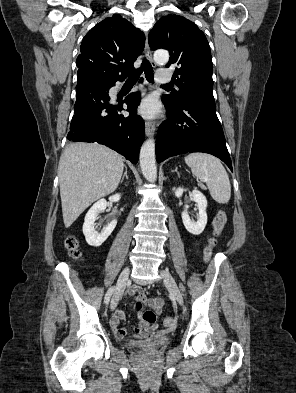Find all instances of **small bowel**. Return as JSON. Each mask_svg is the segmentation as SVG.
I'll list each match as a JSON object with an SVG mask.
<instances>
[{
    "mask_svg": "<svg viewBox=\"0 0 296 393\" xmlns=\"http://www.w3.org/2000/svg\"><path fill=\"white\" fill-rule=\"evenodd\" d=\"M125 296L134 298L137 301H141L144 306L151 308L156 313L161 311L163 306V300L161 298H147L144 295V291L139 286H131L127 289ZM125 318L124 310L118 308L113 317L111 318L110 325L112 330L118 337H124L127 335L128 330L119 326L120 321ZM157 325L149 326L148 323L144 322L142 319L139 320V325L131 329L133 336L136 338H146L149 337L156 329Z\"/></svg>",
    "mask_w": 296,
    "mask_h": 393,
    "instance_id": "small-bowel-1",
    "label": "small bowel"
}]
</instances>
